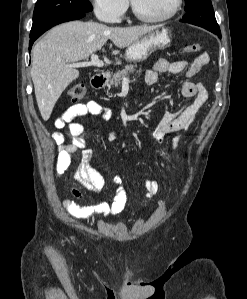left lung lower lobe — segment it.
Segmentation results:
<instances>
[{
    "instance_id": "0a47b994",
    "label": "left lung lower lobe",
    "mask_w": 247,
    "mask_h": 299,
    "mask_svg": "<svg viewBox=\"0 0 247 299\" xmlns=\"http://www.w3.org/2000/svg\"><path fill=\"white\" fill-rule=\"evenodd\" d=\"M189 24H193V25H196V26H200V27H202V28H205V29L209 30L210 32L216 34L219 38H221V32H220V30L212 29V28L207 27V26H205V25H203V24H200V23H189Z\"/></svg>"
}]
</instances>
